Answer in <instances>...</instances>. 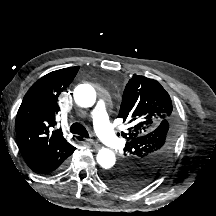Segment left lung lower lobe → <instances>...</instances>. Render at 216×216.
I'll use <instances>...</instances> for the list:
<instances>
[{
    "label": "left lung lower lobe",
    "mask_w": 216,
    "mask_h": 216,
    "mask_svg": "<svg viewBox=\"0 0 216 216\" xmlns=\"http://www.w3.org/2000/svg\"><path fill=\"white\" fill-rule=\"evenodd\" d=\"M105 178V174H103V179Z\"/></svg>",
    "instance_id": "left-lung-lower-lobe-1"
}]
</instances>
